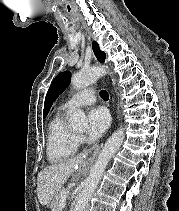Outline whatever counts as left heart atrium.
<instances>
[{
    "label": "left heart atrium",
    "mask_w": 179,
    "mask_h": 211,
    "mask_svg": "<svg viewBox=\"0 0 179 211\" xmlns=\"http://www.w3.org/2000/svg\"><path fill=\"white\" fill-rule=\"evenodd\" d=\"M87 134L91 139L100 138L108 129L110 117L104 108H94L87 116Z\"/></svg>",
    "instance_id": "1"
}]
</instances>
